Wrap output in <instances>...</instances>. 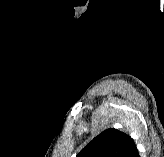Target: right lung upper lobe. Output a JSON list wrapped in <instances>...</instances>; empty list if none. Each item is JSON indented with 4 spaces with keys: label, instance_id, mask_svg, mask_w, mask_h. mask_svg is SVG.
Here are the masks:
<instances>
[{
    "label": "right lung upper lobe",
    "instance_id": "obj_1",
    "mask_svg": "<svg viewBox=\"0 0 164 157\" xmlns=\"http://www.w3.org/2000/svg\"><path fill=\"white\" fill-rule=\"evenodd\" d=\"M136 150L133 139L116 129L96 136L76 157H131Z\"/></svg>",
    "mask_w": 164,
    "mask_h": 157
}]
</instances>
